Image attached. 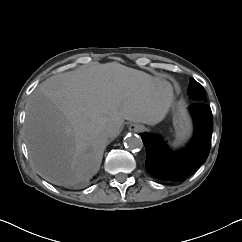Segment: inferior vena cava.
<instances>
[{
    "instance_id": "inferior-vena-cava-1",
    "label": "inferior vena cava",
    "mask_w": 242,
    "mask_h": 242,
    "mask_svg": "<svg viewBox=\"0 0 242 242\" xmlns=\"http://www.w3.org/2000/svg\"><path fill=\"white\" fill-rule=\"evenodd\" d=\"M121 130H122L121 125L117 122H114L106 129V134L110 138H115L120 134Z\"/></svg>"
}]
</instances>
